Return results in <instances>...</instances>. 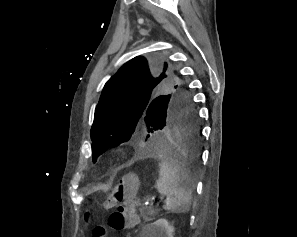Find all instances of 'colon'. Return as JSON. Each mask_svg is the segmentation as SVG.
Instances as JSON below:
<instances>
[{
  "label": "colon",
  "mask_w": 297,
  "mask_h": 237,
  "mask_svg": "<svg viewBox=\"0 0 297 237\" xmlns=\"http://www.w3.org/2000/svg\"><path fill=\"white\" fill-rule=\"evenodd\" d=\"M136 182L134 176L126 177L109 191L107 198L102 202L103 208L113 209L108 220L110 229L123 230L138 224L139 219L134 207ZM86 219H90V214H87ZM105 233L104 226H97L93 230V237H103Z\"/></svg>",
  "instance_id": "obj_1"
}]
</instances>
